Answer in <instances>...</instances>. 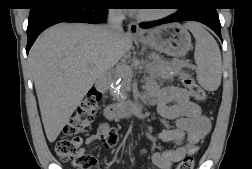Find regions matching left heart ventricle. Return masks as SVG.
<instances>
[{"instance_id":"1","label":"left heart ventricle","mask_w":252,"mask_h":169,"mask_svg":"<svg viewBox=\"0 0 252 169\" xmlns=\"http://www.w3.org/2000/svg\"><path fill=\"white\" fill-rule=\"evenodd\" d=\"M141 11H143V12H147L148 10H141Z\"/></svg>"}]
</instances>
